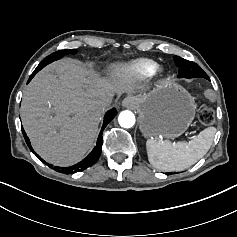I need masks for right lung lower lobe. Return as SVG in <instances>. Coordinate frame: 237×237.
Instances as JSON below:
<instances>
[{"label":"right lung lower lobe","mask_w":237,"mask_h":237,"mask_svg":"<svg viewBox=\"0 0 237 237\" xmlns=\"http://www.w3.org/2000/svg\"><path fill=\"white\" fill-rule=\"evenodd\" d=\"M35 74L36 73H32V75L30 76L28 82L34 77ZM116 114H117V111L115 109H111L110 111H108L105 114L104 123H103L102 129H101V132L99 134V137H98V140H97V144H96L95 148L92 150V152L85 159H83L78 164H75V165L70 166V167H58V166H55L54 170L57 171V172H60V173L73 174V173H76V172L83 171V170L87 169L88 167H91L92 165H94L96 163V161L99 159L100 154H101L102 144H103V138H102L103 130L107 126V124L115 117ZM22 132H23L25 141H26L27 145L29 146V148H31L32 152L39 158V160H41L43 163H46L32 149V147L30 145L29 138L26 136V133H25L23 127H22ZM47 165L49 167H52L51 164H47Z\"/></svg>","instance_id":"1"}]
</instances>
